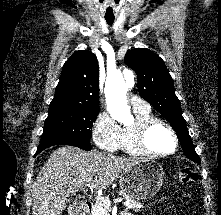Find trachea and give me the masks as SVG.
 <instances>
[{
  "label": "trachea",
  "mask_w": 221,
  "mask_h": 215,
  "mask_svg": "<svg viewBox=\"0 0 221 215\" xmlns=\"http://www.w3.org/2000/svg\"><path fill=\"white\" fill-rule=\"evenodd\" d=\"M106 21H107L108 25L111 26L114 22V19H106Z\"/></svg>",
  "instance_id": "1"
}]
</instances>
